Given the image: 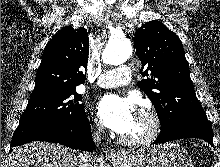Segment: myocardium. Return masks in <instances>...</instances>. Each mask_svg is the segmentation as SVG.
Wrapping results in <instances>:
<instances>
[{
	"label": "myocardium",
	"instance_id": "obj_1",
	"mask_svg": "<svg viewBox=\"0 0 220 167\" xmlns=\"http://www.w3.org/2000/svg\"><path fill=\"white\" fill-rule=\"evenodd\" d=\"M138 113L149 119V128L146 133L140 137L130 138L124 135L120 136V141L128 146H142L156 140L162 130V120L158 112L152 107H143Z\"/></svg>",
	"mask_w": 220,
	"mask_h": 167
}]
</instances>
